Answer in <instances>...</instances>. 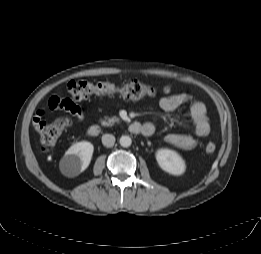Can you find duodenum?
Returning <instances> with one entry per match:
<instances>
[{"mask_svg": "<svg viewBox=\"0 0 261 254\" xmlns=\"http://www.w3.org/2000/svg\"><path fill=\"white\" fill-rule=\"evenodd\" d=\"M129 130L135 134L147 136L152 130V126H144L139 122H132L129 125ZM102 129L99 125H91L87 128L86 133L89 137H96L101 133Z\"/></svg>", "mask_w": 261, "mask_h": 254, "instance_id": "1", "label": "duodenum"}]
</instances>
